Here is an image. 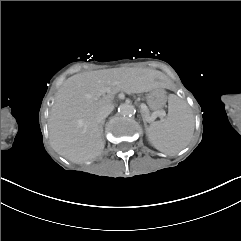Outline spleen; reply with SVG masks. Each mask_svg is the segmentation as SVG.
Here are the masks:
<instances>
[{"label":"spleen","instance_id":"3e777b00","mask_svg":"<svg viewBox=\"0 0 241 241\" xmlns=\"http://www.w3.org/2000/svg\"><path fill=\"white\" fill-rule=\"evenodd\" d=\"M168 108L167 119L153 122L147 129V137L155 149L174 156L189 144L194 119L188 104L179 97L170 99Z\"/></svg>","mask_w":241,"mask_h":241}]
</instances>
